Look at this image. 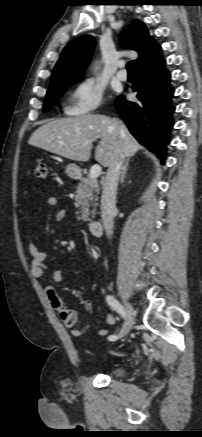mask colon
Wrapping results in <instances>:
<instances>
[{"label":"colon","mask_w":202,"mask_h":437,"mask_svg":"<svg viewBox=\"0 0 202 437\" xmlns=\"http://www.w3.org/2000/svg\"><path fill=\"white\" fill-rule=\"evenodd\" d=\"M34 174L37 178H45L47 176V166L44 162H39L35 166Z\"/></svg>","instance_id":"5ec220e1"}]
</instances>
